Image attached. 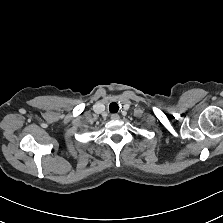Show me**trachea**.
<instances>
[{
  "mask_svg": "<svg viewBox=\"0 0 223 223\" xmlns=\"http://www.w3.org/2000/svg\"><path fill=\"white\" fill-rule=\"evenodd\" d=\"M118 109H119L118 104L115 102H113L109 105V110L111 113H117Z\"/></svg>",
  "mask_w": 223,
  "mask_h": 223,
  "instance_id": "obj_1",
  "label": "trachea"
}]
</instances>
